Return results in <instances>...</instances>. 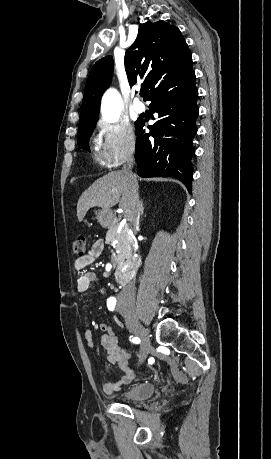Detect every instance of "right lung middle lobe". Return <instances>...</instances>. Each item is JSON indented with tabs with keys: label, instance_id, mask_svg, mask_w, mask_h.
Wrapping results in <instances>:
<instances>
[{
	"label": "right lung middle lobe",
	"instance_id": "dd1d6c3e",
	"mask_svg": "<svg viewBox=\"0 0 271 459\" xmlns=\"http://www.w3.org/2000/svg\"><path fill=\"white\" fill-rule=\"evenodd\" d=\"M97 120L98 118L90 119V120H83L79 122L77 143L80 148H85L89 151L88 140H89L92 130L94 129L96 125ZM138 121L139 120H137L135 124H137Z\"/></svg>",
	"mask_w": 271,
	"mask_h": 459
}]
</instances>
